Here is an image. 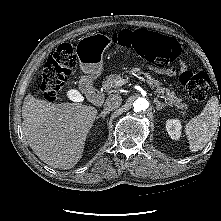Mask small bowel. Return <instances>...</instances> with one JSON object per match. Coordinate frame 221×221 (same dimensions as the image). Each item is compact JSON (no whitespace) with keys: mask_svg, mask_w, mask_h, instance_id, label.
Instances as JSON below:
<instances>
[{"mask_svg":"<svg viewBox=\"0 0 221 221\" xmlns=\"http://www.w3.org/2000/svg\"><path fill=\"white\" fill-rule=\"evenodd\" d=\"M186 66L184 63L181 64V69H184ZM157 72L159 73H165L167 75H170V76H174L176 75V69L175 68H170V69H163V68H158V67H155L154 68Z\"/></svg>","mask_w":221,"mask_h":221,"instance_id":"c3829d8e","label":"small bowel"}]
</instances>
